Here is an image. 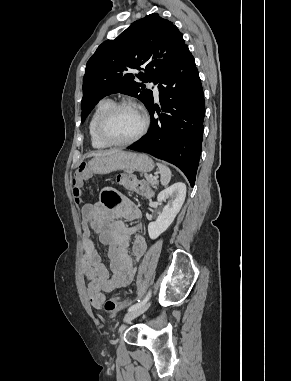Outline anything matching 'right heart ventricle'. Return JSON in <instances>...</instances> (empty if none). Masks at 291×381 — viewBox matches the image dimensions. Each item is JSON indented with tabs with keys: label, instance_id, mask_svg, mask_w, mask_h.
Here are the masks:
<instances>
[{
	"label": "right heart ventricle",
	"instance_id": "right-heart-ventricle-1",
	"mask_svg": "<svg viewBox=\"0 0 291 381\" xmlns=\"http://www.w3.org/2000/svg\"><path fill=\"white\" fill-rule=\"evenodd\" d=\"M113 105V102L109 99L101 100L95 110L92 113V116L89 121L88 131L90 142L93 148L95 149H105L110 147L109 144L105 143L97 133V122L101 115Z\"/></svg>",
	"mask_w": 291,
	"mask_h": 381
}]
</instances>
